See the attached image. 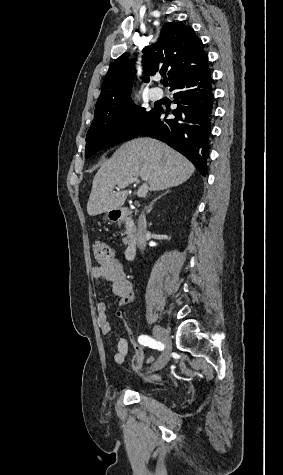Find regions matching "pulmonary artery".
Here are the masks:
<instances>
[{"label":"pulmonary artery","instance_id":"obj_1","mask_svg":"<svg viewBox=\"0 0 283 475\" xmlns=\"http://www.w3.org/2000/svg\"><path fill=\"white\" fill-rule=\"evenodd\" d=\"M150 94L152 96H161L163 94V89L161 87H152L150 89Z\"/></svg>","mask_w":283,"mask_h":475}]
</instances>
